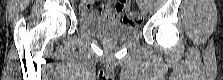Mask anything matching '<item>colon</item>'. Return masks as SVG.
<instances>
[{"mask_svg":"<svg viewBox=\"0 0 223 80\" xmlns=\"http://www.w3.org/2000/svg\"><path fill=\"white\" fill-rule=\"evenodd\" d=\"M115 9L121 14L123 22L136 26L142 22V16L138 11H130L129 4L125 0H121L115 4Z\"/></svg>","mask_w":223,"mask_h":80,"instance_id":"colon-1","label":"colon"}]
</instances>
